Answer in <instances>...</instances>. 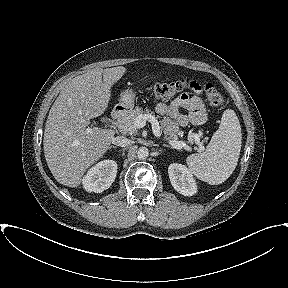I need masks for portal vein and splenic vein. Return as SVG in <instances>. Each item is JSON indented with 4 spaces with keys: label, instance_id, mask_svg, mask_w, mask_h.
I'll list each match as a JSON object with an SVG mask.
<instances>
[{
    "label": "portal vein and splenic vein",
    "instance_id": "18ae733b",
    "mask_svg": "<svg viewBox=\"0 0 288 288\" xmlns=\"http://www.w3.org/2000/svg\"><path fill=\"white\" fill-rule=\"evenodd\" d=\"M146 121H149L152 124V130L153 133L156 137L160 138L161 137V132H160V126H159V122L156 120V117L151 115V114H143V115H139L136 117L134 124L132 127H130L128 130H136V129H140L143 128L146 125ZM116 124V123H114ZM118 127L120 129H125L124 126H122L121 124L118 125ZM195 140L197 142H199V138L196 135L195 136ZM169 144L174 148V149H189L190 147L183 141H177V140H173L170 141ZM200 151L204 150V147H200L199 148Z\"/></svg>",
    "mask_w": 288,
    "mask_h": 288
}]
</instances>
